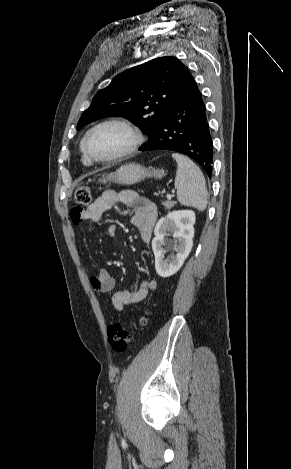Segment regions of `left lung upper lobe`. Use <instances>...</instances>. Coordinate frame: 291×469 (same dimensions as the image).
<instances>
[{"instance_id":"1","label":"left lung upper lobe","mask_w":291,"mask_h":469,"mask_svg":"<svg viewBox=\"0 0 291 469\" xmlns=\"http://www.w3.org/2000/svg\"><path fill=\"white\" fill-rule=\"evenodd\" d=\"M192 78L176 57H159L113 78L94 96L77 129L106 116H122L150 137L174 100Z\"/></svg>"}]
</instances>
